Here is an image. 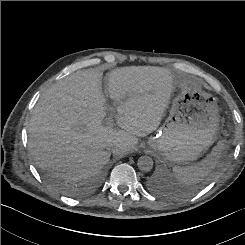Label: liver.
Returning <instances> with one entry per match:
<instances>
[{"instance_id": "6515ba94", "label": "liver", "mask_w": 245, "mask_h": 245, "mask_svg": "<svg viewBox=\"0 0 245 245\" xmlns=\"http://www.w3.org/2000/svg\"><path fill=\"white\" fill-rule=\"evenodd\" d=\"M101 79L99 71L80 70L41 95L28 127V147L39 168L68 181L87 179L109 162L111 152L134 149L138 137L158 128L174 89L170 71L129 66L109 74L120 130L102 124L109 107Z\"/></svg>"}]
</instances>
